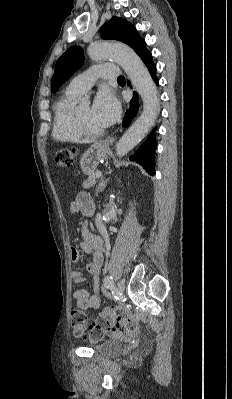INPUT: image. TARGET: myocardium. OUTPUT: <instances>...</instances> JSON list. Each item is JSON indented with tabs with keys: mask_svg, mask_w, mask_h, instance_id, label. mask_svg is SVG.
Wrapping results in <instances>:
<instances>
[{
	"mask_svg": "<svg viewBox=\"0 0 232 399\" xmlns=\"http://www.w3.org/2000/svg\"><path fill=\"white\" fill-rule=\"evenodd\" d=\"M74 121H75L77 130L86 139L96 140V139L102 138L108 132L107 129L104 131H101V132L91 131L86 126L85 122L82 120V118L78 114H75Z\"/></svg>",
	"mask_w": 232,
	"mask_h": 399,
	"instance_id": "f54148a6",
	"label": "myocardium"
}]
</instances>
